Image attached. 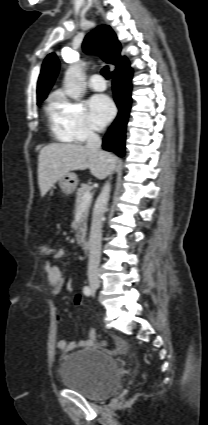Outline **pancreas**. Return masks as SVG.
<instances>
[{
	"mask_svg": "<svg viewBox=\"0 0 208 425\" xmlns=\"http://www.w3.org/2000/svg\"><path fill=\"white\" fill-rule=\"evenodd\" d=\"M92 190V186H90L89 184H81V187L77 189L76 192V204H75V209H77L83 199V196L86 192H89ZM91 206V200L87 203L81 220L79 221V227H78V231H77V237H78V244H82L85 236H86V231H87V218H88V213H89V208Z\"/></svg>",
	"mask_w": 208,
	"mask_h": 425,
	"instance_id": "1",
	"label": "pancreas"
}]
</instances>
